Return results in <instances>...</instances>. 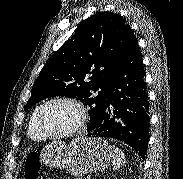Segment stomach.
Returning a JSON list of instances; mask_svg holds the SVG:
<instances>
[{
	"label": "stomach",
	"instance_id": "stomach-1",
	"mask_svg": "<svg viewBox=\"0 0 183 179\" xmlns=\"http://www.w3.org/2000/svg\"><path fill=\"white\" fill-rule=\"evenodd\" d=\"M112 154L107 142L97 137H79L66 144L53 141L46 145L40 161L50 168H64L80 177L108 167Z\"/></svg>",
	"mask_w": 183,
	"mask_h": 179
}]
</instances>
